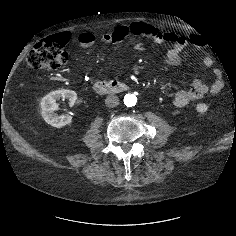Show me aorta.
<instances>
[{
    "label": "aorta",
    "mask_w": 236,
    "mask_h": 236,
    "mask_svg": "<svg viewBox=\"0 0 236 236\" xmlns=\"http://www.w3.org/2000/svg\"><path fill=\"white\" fill-rule=\"evenodd\" d=\"M137 103V97L134 94L128 93L124 96V104L127 107H132L136 105Z\"/></svg>",
    "instance_id": "762f6f07"
}]
</instances>
